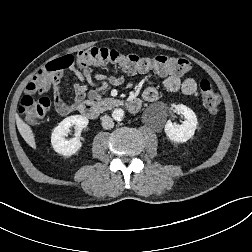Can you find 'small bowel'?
Listing matches in <instances>:
<instances>
[{
  "label": "small bowel",
  "mask_w": 252,
  "mask_h": 252,
  "mask_svg": "<svg viewBox=\"0 0 252 252\" xmlns=\"http://www.w3.org/2000/svg\"><path fill=\"white\" fill-rule=\"evenodd\" d=\"M70 69L78 79V81L73 83L74 98L71 101L65 102L61 98L60 76L52 85L55 93V107L62 115L76 110L79 103L85 98L90 100L99 99L110 87L123 83L122 76H105L97 72L93 73L89 68L78 69L72 67ZM162 75L165 76L163 85L170 92L181 91L185 95H193L197 90V83L192 77L181 79L177 75H168V73H162ZM94 79L97 82H94ZM88 84L92 85L93 88L89 89ZM158 97V91L153 87H149L143 92V98L148 102H154Z\"/></svg>",
  "instance_id": "1"
}]
</instances>
